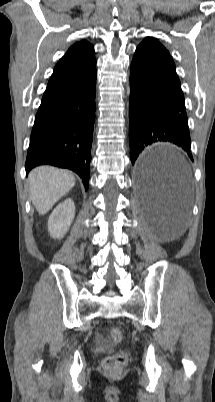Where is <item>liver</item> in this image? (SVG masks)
Segmentation results:
<instances>
[{
	"label": "liver",
	"mask_w": 215,
	"mask_h": 402,
	"mask_svg": "<svg viewBox=\"0 0 215 402\" xmlns=\"http://www.w3.org/2000/svg\"><path fill=\"white\" fill-rule=\"evenodd\" d=\"M30 200L39 214H46L54 204L75 185V177L68 170L39 166L28 176Z\"/></svg>",
	"instance_id": "liver-1"
}]
</instances>
